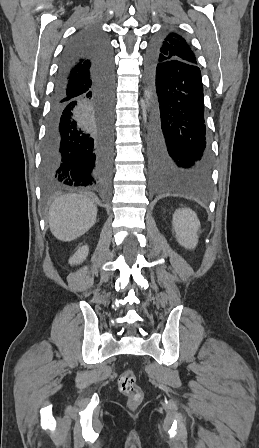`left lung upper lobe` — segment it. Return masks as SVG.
I'll return each instance as SVG.
<instances>
[{"label":"left lung upper lobe","mask_w":259,"mask_h":448,"mask_svg":"<svg viewBox=\"0 0 259 448\" xmlns=\"http://www.w3.org/2000/svg\"><path fill=\"white\" fill-rule=\"evenodd\" d=\"M158 61L179 60L198 65L197 58L188 43L180 34L171 31L163 35L152 51Z\"/></svg>","instance_id":"left-lung-upper-lobe-1"}]
</instances>
